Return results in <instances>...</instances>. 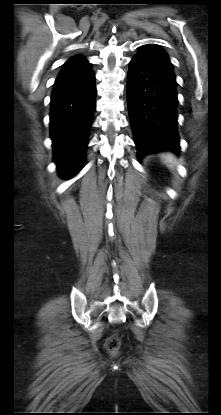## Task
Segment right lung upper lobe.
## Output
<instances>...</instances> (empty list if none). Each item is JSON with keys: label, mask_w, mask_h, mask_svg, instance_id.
I'll use <instances>...</instances> for the list:
<instances>
[{"label": "right lung upper lobe", "mask_w": 221, "mask_h": 415, "mask_svg": "<svg viewBox=\"0 0 221 415\" xmlns=\"http://www.w3.org/2000/svg\"><path fill=\"white\" fill-rule=\"evenodd\" d=\"M84 64H88L87 60L81 56H74L73 58L69 59L64 65L63 68L65 67H73V66H80V65H84Z\"/></svg>", "instance_id": "1"}]
</instances>
